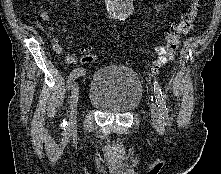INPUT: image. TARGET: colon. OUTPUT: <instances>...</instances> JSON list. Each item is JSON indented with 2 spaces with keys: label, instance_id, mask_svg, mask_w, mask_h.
<instances>
[{
  "label": "colon",
  "instance_id": "1",
  "mask_svg": "<svg viewBox=\"0 0 221 174\" xmlns=\"http://www.w3.org/2000/svg\"><path fill=\"white\" fill-rule=\"evenodd\" d=\"M200 8L201 0H190L186 11L181 15L180 19L172 22L165 29L166 42L157 50V55L151 65L153 72L159 71L173 58L180 40L193 29ZM95 60L96 56L90 50H86L82 62L91 64Z\"/></svg>",
  "mask_w": 221,
  "mask_h": 174
}]
</instances>
